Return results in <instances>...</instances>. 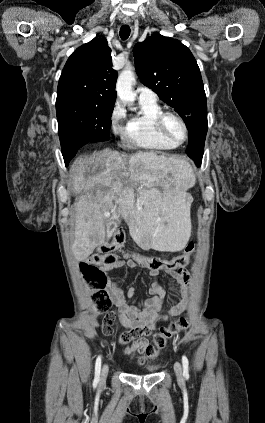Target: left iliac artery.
Masks as SVG:
<instances>
[{
    "label": "left iliac artery",
    "mask_w": 265,
    "mask_h": 423,
    "mask_svg": "<svg viewBox=\"0 0 265 423\" xmlns=\"http://www.w3.org/2000/svg\"><path fill=\"white\" fill-rule=\"evenodd\" d=\"M182 364H183V375L184 377L188 378L189 377V372H188L189 361L185 355L182 356Z\"/></svg>",
    "instance_id": "obj_1"
}]
</instances>
